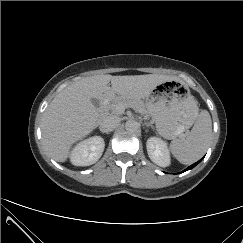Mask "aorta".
<instances>
[{
	"label": "aorta",
	"mask_w": 243,
	"mask_h": 243,
	"mask_svg": "<svg viewBox=\"0 0 243 243\" xmlns=\"http://www.w3.org/2000/svg\"><path fill=\"white\" fill-rule=\"evenodd\" d=\"M125 128L129 132H134L139 128V124L135 120H128L125 124Z\"/></svg>",
	"instance_id": "aorta-1"
}]
</instances>
